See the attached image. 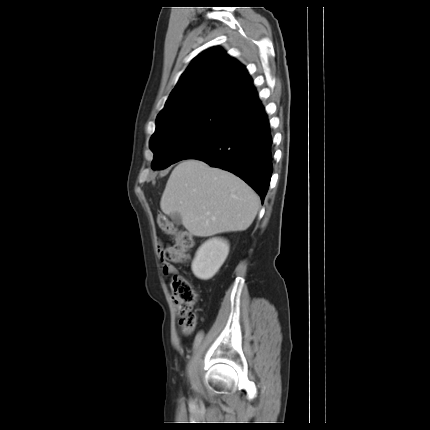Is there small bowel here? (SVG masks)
I'll list each match as a JSON object with an SVG mask.
<instances>
[{"mask_svg": "<svg viewBox=\"0 0 430 430\" xmlns=\"http://www.w3.org/2000/svg\"><path fill=\"white\" fill-rule=\"evenodd\" d=\"M160 263H162V269L165 274H175L177 269L170 263H166V258H160Z\"/></svg>", "mask_w": 430, "mask_h": 430, "instance_id": "small-bowel-1", "label": "small bowel"}]
</instances>
